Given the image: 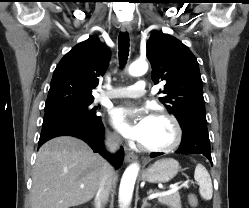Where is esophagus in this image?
Here are the masks:
<instances>
[{"instance_id": "1", "label": "esophagus", "mask_w": 249, "mask_h": 208, "mask_svg": "<svg viewBox=\"0 0 249 208\" xmlns=\"http://www.w3.org/2000/svg\"><path fill=\"white\" fill-rule=\"evenodd\" d=\"M121 31L123 33H129V34H131L132 33V27L128 23H123L122 26H121ZM136 159H137V156H136L135 153H133L132 151H126V153H125V161L127 163L133 162Z\"/></svg>"}]
</instances>
